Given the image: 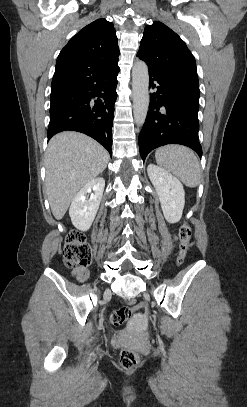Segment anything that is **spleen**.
<instances>
[{"label": "spleen", "instance_id": "spleen-1", "mask_svg": "<svg viewBox=\"0 0 247 407\" xmlns=\"http://www.w3.org/2000/svg\"><path fill=\"white\" fill-rule=\"evenodd\" d=\"M157 164L173 173L186 186L195 188L201 179L200 164L195 153L182 145H166L155 152Z\"/></svg>", "mask_w": 247, "mask_h": 407}]
</instances>
